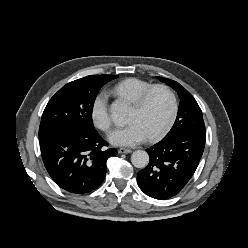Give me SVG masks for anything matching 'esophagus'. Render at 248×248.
Segmentation results:
<instances>
[{
	"label": "esophagus",
	"instance_id": "1",
	"mask_svg": "<svg viewBox=\"0 0 248 248\" xmlns=\"http://www.w3.org/2000/svg\"><path fill=\"white\" fill-rule=\"evenodd\" d=\"M132 150L131 149H127V148H120L118 149V153L119 154H128V153H131Z\"/></svg>",
	"mask_w": 248,
	"mask_h": 248
}]
</instances>
